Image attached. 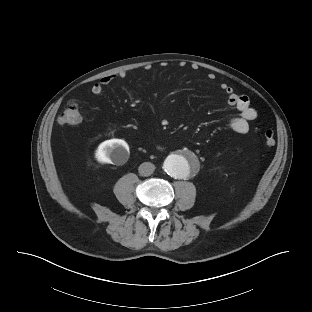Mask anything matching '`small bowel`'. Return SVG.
<instances>
[{
    "mask_svg": "<svg viewBox=\"0 0 312 312\" xmlns=\"http://www.w3.org/2000/svg\"><path fill=\"white\" fill-rule=\"evenodd\" d=\"M125 76V72H119L117 74L102 77L99 81L92 85V94L100 96L106 85L111 83L116 78H124ZM208 77L213 79L214 74H209ZM221 89L227 95L228 105L235 108L239 112V115L232 118L230 121L232 131L237 134L247 133L250 129V123L257 118V111L251 107L250 100L247 96L235 93L231 86L223 83L221 84Z\"/></svg>",
    "mask_w": 312,
    "mask_h": 312,
    "instance_id": "small-bowel-1",
    "label": "small bowel"
}]
</instances>
